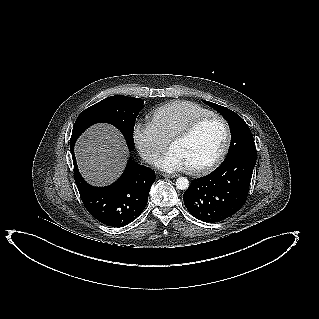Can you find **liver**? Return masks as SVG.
<instances>
[{
	"mask_svg": "<svg viewBox=\"0 0 319 319\" xmlns=\"http://www.w3.org/2000/svg\"><path fill=\"white\" fill-rule=\"evenodd\" d=\"M75 156L83 178L95 186L114 182L125 168L129 151L113 126H91L76 142Z\"/></svg>",
	"mask_w": 319,
	"mask_h": 319,
	"instance_id": "liver-1",
	"label": "liver"
}]
</instances>
